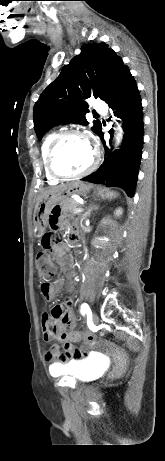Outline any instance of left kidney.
Masks as SVG:
<instances>
[{
	"instance_id": "1",
	"label": "left kidney",
	"mask_w": 165,
	"mask_h": 461,
	"mask_svg": "<svg viewBox=\"0 0 165 461\" xmlns=\"http://www.w3.org/2000/svg\"><path fill=\"white\" fill-rule=\"evenodd\" d=\"M114 214L120 216L122 214V208H118Z\"/></svg>"
}]
</instances>
